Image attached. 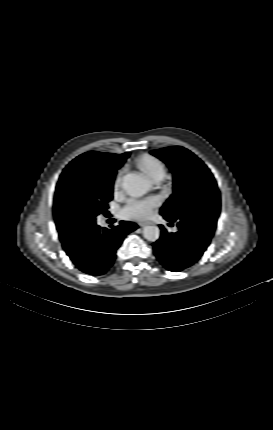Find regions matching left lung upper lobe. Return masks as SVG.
<instances>
[{"mask_svg":"<svg viewBox=\"0 0 273 430\" xmlns=\"http://www.w3.org/2000/svg\"><path fill=\"white\" fill-rule=\"evenodd\" d=\"M151 153L164 161L173 173L174 193L160 213L192 225L211 239L220 213V192L207 166L192 152L180 146L153 150ZM202 206L215 208L214 221L198 220Z\"/></svg>","mask_w":273,"mask_h":430,"instance_id":"5c2ea615","label":"left lung upper lobe"}]
</instances>
